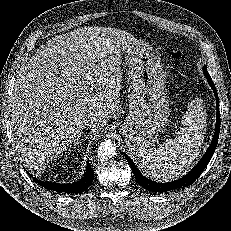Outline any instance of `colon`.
Returning a JSON list of instances; mask_svg holds the SVG:
<instances>
[{
	"label": "colon",
	"instance_id": "obj_1",
	"mask_svg": "<svg viewBox=\"0 0 231 231\" xmlns=\"http://www.w3.org/2000/svg\"><path fill=\"white\" fill-rule=\"evenodd\" d=\"M171 58L173 60H180L183 58V52L179 49H174L171 53Z\"/></svg>",
	"mask_w": 231,
	"mask_h": 231
}]
</instances>
